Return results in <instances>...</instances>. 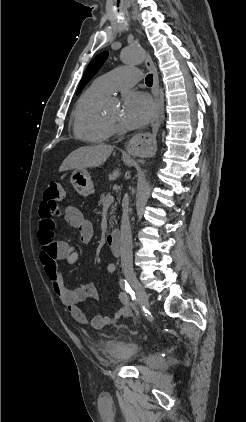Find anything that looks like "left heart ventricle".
<instances>
[{"mask_svg": "<svg viewBox=\"0 0 246 422\" xmlns=\"http://www.w3.org/2000/svg\"><path fill=\"white\" fill-rule=\"evenodd\" d=\"M106 118L112 122H116L119 118V111L113 110L106 115Z\"/></svg>", "mask_w": 246, "mask_h": 422, "instance_id": "1", "label": "left heart ventricle"}]
</instances>
